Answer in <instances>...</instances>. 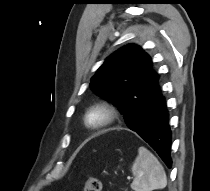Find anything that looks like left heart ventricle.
<instances>
[{
	"label": "left heart ventricle",
	"instance_id": "1",
	"mask_svg": "<svg viewBox=\"0 0 210 191\" xmlns=\"http://www.w3.org/2000/svg\"><path fill=\"white\" fill-rule=\"evenodd\" d=\"M102 119H103V114L101 112H95L90 116L89 122L91 124H98L102 121Z\"/></svg>",
	"mask_w": 210,
	"mask_h": 191
}]
</instances>
